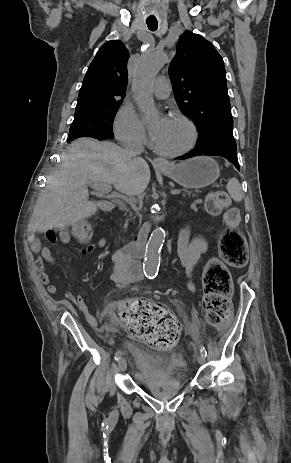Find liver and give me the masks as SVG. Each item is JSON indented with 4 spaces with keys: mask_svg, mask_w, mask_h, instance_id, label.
Instances as JSON below:
<instances>
[{
    "mask_svg": "<svg viewBox=\"0 0 291 463\" xmlns=\"http://www.w3.org/2000/svg\"><path fill=\"white\" fill-rule=\"evenodd\" d=\"M150 176L143 158L130 157L114 143L77 139L61 155L58 170L48 178L28 228L31 232L65 229L94 215L98 206L89 201L87 186L91 183L112 184L117 191L136 196L146 189Z\"/></svg>",
    "mask_w": 291,
    "mask_h": 463,
    "instance_id": "liver-1",
    "label": "liver"
}]
</instances>
